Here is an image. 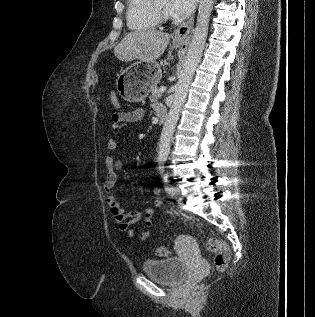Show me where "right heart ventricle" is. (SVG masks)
I'll return each mask as SVG.
<instances>
[{
    "mask_svg": "<svg viewBox=\"0 0 315 317\" xmlns=\"http://www.w3.org/2000/svg\"><path fill=\"white\" fill-rule=\"evenodd\" d=\"M150 0H127L126 20L131 30L145 31L157 27L158 20Z\"/></svg>",
    "mask_w": 315,
    "mask_h": 317,
    "instance_id": "1",
    "label": "right heart ventricle"
}]
</instances>
